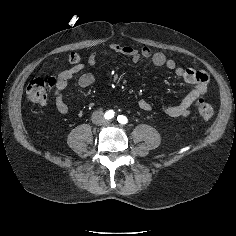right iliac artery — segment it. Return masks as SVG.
I'll use <instances>...</instances> for the list:
<instances>
[{"label":"right iliac artery","instance_id":"82829eb1","mask_svg":"<svg viewBox=\"0 0 236 236\" xmlns=\"http://www.w3.org/2000/svg\"><path fill=\"white\" fill-rule=\"evenodd\" d=\"M114 111L113 110H109V111H107L106 113H105V118L106 119H111V118H113L114 117Z\"/></svg>","mask_w":236,"mask_h":236}]
</instances>
